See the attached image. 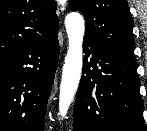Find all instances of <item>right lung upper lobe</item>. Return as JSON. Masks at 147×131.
<instances>
[{
  "label": "right lung upper lobe",
  "mask_w": 147,
  "mask_h": 131,
  "mask_svg": "<svg viewBox=\"0 0 147 131\" xmlns=\"http://www.w3.org/2000/svg\"><path fill=\"white\" fill-rule=\"evenodd\" d=\"M55 0H0V57L58 33Z\"/></svg>",
  "instance_id": "cb5924a9"
}]
</instances>
